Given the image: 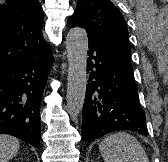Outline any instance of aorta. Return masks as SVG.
Wrapping results in <instances>:
<instances>
[{"instance_id":"obj_1","label":"aorta","mask_w":168,"mask_h":162,"mask_svg":"<svg viewBox=\"0 0 168 162\" xmlns=\"http://www.w3.org/2000/svg\"><path fill=\"white\" fill-rule=\"evenodd\" d=\"M68 59L67 108L75 118L82 110L87 86L88 36L85 29L71 28L66 37Z\"/></svg>"}]
</instances>
